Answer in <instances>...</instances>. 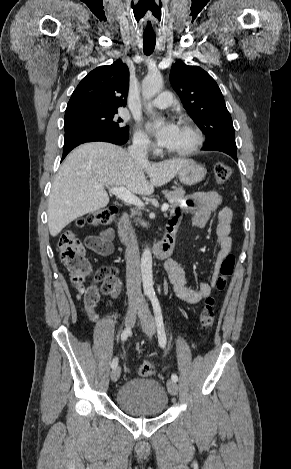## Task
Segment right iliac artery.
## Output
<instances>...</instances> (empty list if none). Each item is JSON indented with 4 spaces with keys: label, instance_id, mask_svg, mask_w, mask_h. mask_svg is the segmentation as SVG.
Returning <instances> with one entry per match:
<instances>
[{
    "label": "right iliac artery",
    "instance_id": "obj_1",
    "mask_svg": "<svg viewBox=\"0 0 291 469\" xmlns=\"http://www.w3.org/2000/svg\"><path fill=\"white\" fill-rule=\"evenodd\" d=\"M129 334H130V329L126 328L121 334V340L125 341ZM117 365H118V358L116 357V358L113 359L111 367L114 369V368L117 367Z\"/></svg>",
    "mask_w": 291,
    "mask_h": 469
}]
</instances>
